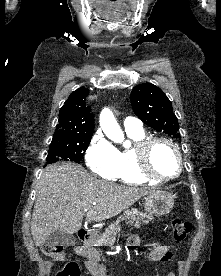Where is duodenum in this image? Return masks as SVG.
Wrapping results in <instances>:
<instances>
[{
    "mask_svg": "<svg viewBox=\"0 0 221 276\" xmlns=\"http://www.w3.org/2000/svg\"><path fill=\"white\" fill-rule=\"evenodd\" d=\"M79 239L84 243L85 246L92 244L93 238L92 234L87 229H80L78 232Z\"/></svg>",
    "mask_w": 221,
    "mask_h": 276,
    "instance_id": "410a0bca",
    "label": "duodenum"
}]
</instances>
